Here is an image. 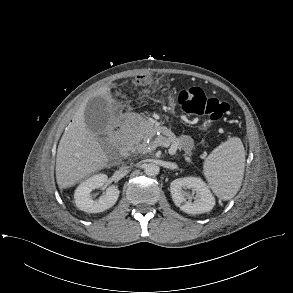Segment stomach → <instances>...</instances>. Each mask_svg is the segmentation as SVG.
<instances>
[{"mask_svg":"<svg viewBox=\"0 0 293 293\" xmlns=\"http://www.w3.org/2000/svg\"><path fill=\"white\" fill-rule=\"evenodd\" d=\"M170 105L173 107L174 106V101L173 99H170Z\"/></svg>","mask_w":293,"mask_h":293,"instance_id":"1","label":"stomach"}]
</instances>
